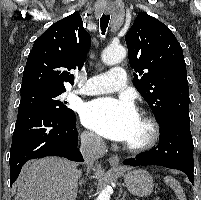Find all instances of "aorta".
Here are the masks:
<instances>
[{
    "instance_id": "obj_1",
    "label": "aorta",
    "mask_w": 201,
    "mask_h": 200,
    "mask_svg": "<svg viewBox=\"0 0 201 200\" xmlns=\"http://www.w3.org/2000/svg\"><path fill=\"white\" fill-rule=\"evenodd\" d=\"M126 56V49L123 46L108 47L102 54V60L107 65H115L121 62ZM111 187L107 186L99 193L96 200H110Z\"/></svg>"
}]
</instances>
